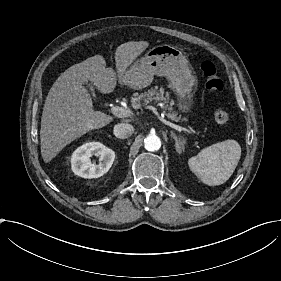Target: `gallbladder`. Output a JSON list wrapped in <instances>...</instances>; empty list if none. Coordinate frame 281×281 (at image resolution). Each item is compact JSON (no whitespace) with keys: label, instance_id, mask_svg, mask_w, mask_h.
<instances>
[{"label":"gallbladder","instance_id":"obj_1","mask_svg":"<svg viewBox=\"0 0 281 281\" xmlns=\"http://www.w3.org/2000/svg\"><path fill=\"white\" fill-rule=\"evenodd\" d=\"M87 86L89 87V89L91 90V94L94 100H97V95L95 93V89L93 87V85L91 83H87Z\"/></svg>","mask_w":281,"mask_h":281}]
</instances>
